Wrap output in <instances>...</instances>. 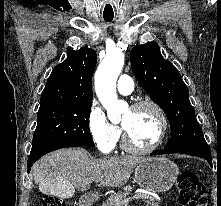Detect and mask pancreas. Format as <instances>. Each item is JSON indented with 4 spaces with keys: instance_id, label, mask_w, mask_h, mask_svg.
<instances>
[{
    "instance_id": "obj_1",
    "label": "pancreas",
    "mask_w": 221,
    "mask_h": 206,
    "mask_svg": "<svg viewBox=\"0 0 221 206\" xmlns=\"http://www.w3.org/2000/svg\"><path fill=\"white\" fill-rule=\"evenodd\" d=\"M129 195V191H125L124 193H117L110 195L106 201L101 206H124V200L126 196ZM144 201L146 203L145 206H160L159 201L156 198L148 195H144Z\"/></svg>"
}]
</instances>
